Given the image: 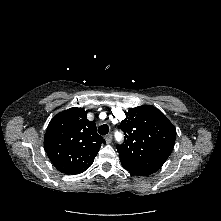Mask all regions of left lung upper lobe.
<instances>
[{"instance_id": "left-lung-upper-lobe-1", "label": "left lung upper lobe", "mask_w": 221, "mask_h": 221, "mask_svg": "<svg viewBox=\"0 0 221 221\" xmlns=\"http://www.w3.org/2000/svg\"><path fill=\"white\" fill-rule=\"evenodd\" d=\"M125 141L117 145L125 169H160L172 152L176 129L156 107L131 108L119 125Z\"/></svg>"}]
</instances>
